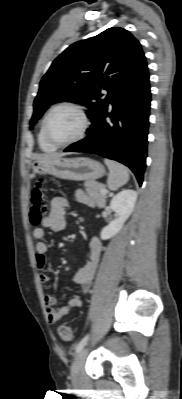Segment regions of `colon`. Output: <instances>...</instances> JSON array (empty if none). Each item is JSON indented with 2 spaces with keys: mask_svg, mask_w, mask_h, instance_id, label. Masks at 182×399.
Wrapping results in <instances>:
<instances>
[{
  "mask_svg": "<svg viewBox=\"0 0 182 399\" xmlns=\"http://www.w3.org/2000/svg\"><path fill=\"white\" fill-rule=\"evenodd\" d=\"M51 179L41 176L31 192L30 198V222L37 226L45 219L48 212L46 190ZM58 335L63 341H70L73 338L72 328L67 324L58 327Z\"/></svg>",
  "mask_w": 182,
  "mask_h": 399,
  "instance_id": "1",
  "label": "colon"
}]
</instances>
